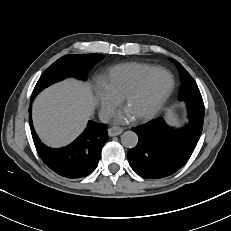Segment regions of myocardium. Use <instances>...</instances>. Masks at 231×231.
<instances>
[{"label":"myocardium","mask_w":231,"mask_h":231,"mask_svg":"<svg viewBox=\"0 0 231 231\" xmlns=\"http://www.w3.org/2000/svg\"><path fill=\"white\" fill-rule=\"evenodd\" d=\"M161 73H166V74H168L170 76V78H171L170 87L166 91V93L163 95V97L159 100L157 105L152 110H150L149 112H147L145 114H142V115L137 117V119L140 120V121H147V120H150V119L154 118L165 107V105L167 104V102L169 101V99L171 98V96H172V94H173V92L175 90V84L176 83H175L174 75L169 70L159 68L158 70L150 73L149 75H147L146 77L141 79L123 97V104L126 105L128 103V101L133 96H135L137 93H139L141 90H143L156 76H158Z\"/></svg>","instance_id":"f54148a6"}]
</instances>
